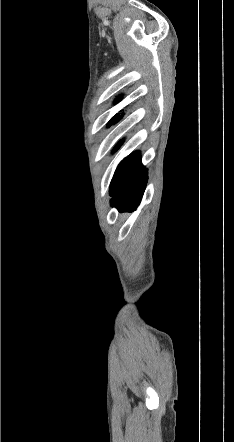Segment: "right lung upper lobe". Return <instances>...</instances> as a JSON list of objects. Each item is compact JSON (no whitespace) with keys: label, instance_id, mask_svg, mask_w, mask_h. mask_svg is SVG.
<instances>
[{"label":"right lung upper lobe","instance_id":"obj_1","mask_svg":"<svg viewBox=\"0 0 234 442\" xmlns=\"http://www.w3.org/2000/svg\"><path fill=\"white\" fill-rule=\"evenodd\" d=\"M120 100V98H118L116 101H119ZM117 116V115H116Z\"/></svg>","mask_w":234,"mask_h":442}]
</instances>
